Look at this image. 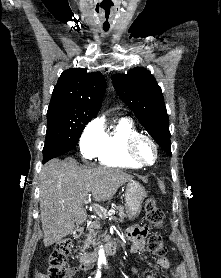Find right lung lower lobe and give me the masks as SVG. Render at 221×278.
Returning a JSON list of instances; mask_svg holds the SVG:
<instances>
[{
	"instance_id": "right-lung-lower-lobe-1",
	"label": "right lung lower lobe",
	"mask_w": 221,
	"mask_h": 278,
	"mask_svg": "<svg viewBox=\"0 0 221 278\" xmlns=\"http://www.w3.org/2000/svg\"><path fill=\"white\" fill-rule=\"evenodd\" d=\"M48 160H46V159H43V163H45V162H47Z\"/></svg>"
}]
</instances>
